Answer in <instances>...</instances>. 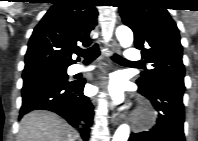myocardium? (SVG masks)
<instances>
[{"instance_id": "obj_1", "label": "myocardium", "mask_w": 198, "mask_h": 141, "mask_svg": "<svg viewBox=\"0 0 198 141\" xmlns=\"http://www.w3.org/2000/svg\"><path fill=\"white\" fill-rule=\"evenodd\" d=\"M154 120V115L148 106H144L136 114L134 122L137 126H147Z\"/></svg>"}]
</instances>
